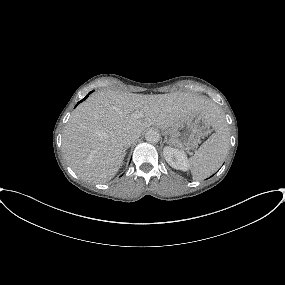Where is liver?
<instances>
[{"label":"liver","mask_w":285,"mask_h":285,"mask_svg":"<svg viewBox=\"0 0 285 285\" xmlns=\"http://www.w3.org/2000/svg\"><path fill=\"white\" fill-rule=\"evenodd\" d=\"M218 107L202 96L177 92L143 95L105 90L91 95L72 113L62 136L66 161L82 179L111 180L123 161L125 134L141 133L151 125L176 126L195 112L213 123ZM135 112L142 116L135 117Z\"/></svg>","instance_id":"liver-1"}]
</instances>
